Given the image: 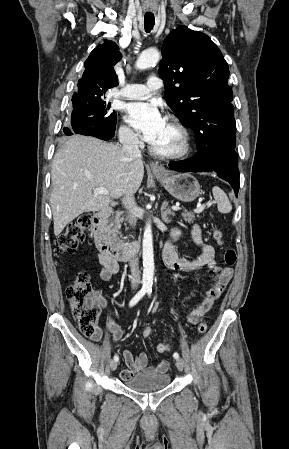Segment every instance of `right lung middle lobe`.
Returning <instances> with one entry per match:
<instances>
[{
  "label": "right lung middle lobe",
  "mask_w": 289,
  "mask_h": 449,
  "mask_svg": "<svg viewBox=\"0 0 289 449\" xmlns=\"http://www.w3.org/2000/svg\"><path fill=\"white\" fill-rule=\"evenodd\" d=\"M77 93L73 97V111L71 115V128H65L64 133L71 135V130L80 123H92L100 128H114L116 125V112L110 109V103L106 100L105 92Z\"/></svg>",
  "instance_id": "right-lung-middle-lobe-1"
}]
</instances>
